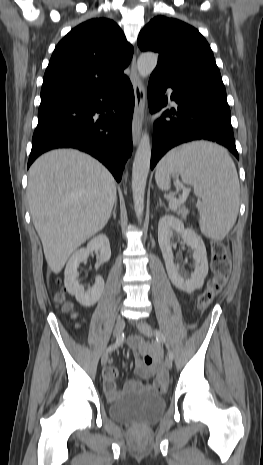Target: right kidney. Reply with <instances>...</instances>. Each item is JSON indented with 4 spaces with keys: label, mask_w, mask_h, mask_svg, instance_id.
<instances>
[{
    "label": "right kidney",
    "mask_w": 263,
    "mask_h": 465,
    "mask_svg": "<svg viewBox=\"0 0 263 465\" xmlns=\"http://www.w3.org/2000/svg\"><path fill=\"white\" fill-rule=\"evenodd\" d=\"M94 251L100 253V260L102 263L109 261L111 257V249L109 239L106 235L100 234L96 236L87 244L86 248L77 250L70 257L65 268L64 285L66 290L70 294L75 295L76 300L86 307L94 305L101 297L104 289V280L100 276L96 277L94 286L87 291L79 284L77 279V268L80 262L87 260L89 254Z\"/></svg>",
    "instance_id": "1"
}]
</instances>
